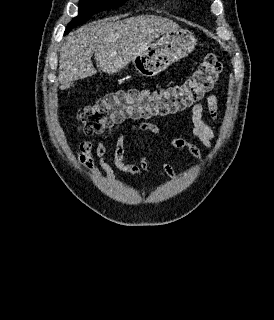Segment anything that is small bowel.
Instances as JSON below:
<instances>
[{
	"label": "small bowel",
	"instance_id": "small-bowel-1",
	"mask_svg": "<svg viewBox=\"0 0 274 320\" xmlns=\"http://www.w3.org/2000/svg\"><path fill=\"white\" fill-rule=\"evenodd\" d=\"M207 111L212 119L218 118V101L216 96L209 95L206 99ZM204 105L196 103L191 108V122L193 124V134L201 143L207 147L212 148L214 142V131L205 122L203 118ZM150 132L158 138L159 147L164 153L166 149H186L189 153L202 162V153L197 145L183 139L175 138L164 144L163 137L159 127L150 122L132 124L123 128L116 138L115 148L113 153L114 167L124 173H138L142 175L150 174V156L144 155L141 157L138 164L127 163L125 161V142L128 135L133 131ZM110 132H103L97 143L94 144L92 139L83 140L77 152L78 161L81 166L91 172L93 175H104L111 184L118 185L119 181L116 178L114 167L107 161V148L105 141ZM161 167L163 172L171 179H177L178 174L172 165L167 163L164 156H161Z\"/></svg>",
	"mask_w": 274,
	"mask_h": 320
}]
</instances>
